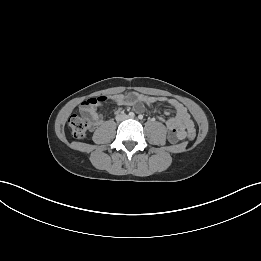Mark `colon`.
<instances>
[{
    "mask_svg": "<svg viewBox=\"0 0 261 261\" xmlns=\"http://www.w3.org/2000/svg\"><path fill=\"white\" fill-rule=\"evenodd\" d=\"M103 97H98L96 100L101 101ZM90 120L84 115L74 114L68 120V126L72 135L75 138H83L90 128ZM195 136L194 129L188 131V138L192 140Z\"/></svg>",
    "mask_w": 261,
    "mask_h": 261,
    "instance_id": "1",
    "label": "colon"
}]
</instances>
